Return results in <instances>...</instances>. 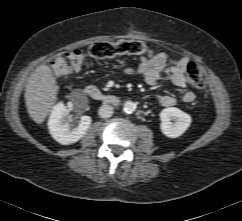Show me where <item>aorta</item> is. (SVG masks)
<instances>
[{"mask_svg":"<svg viewBox=\"0 0 242 221\" xmlns=\"http://www.w3.org/2000/svg\"><path fill=\"white\" fill-rule=\"evenodd\" d=\"M123 109L126 113H133L136 110V104L133 101H126Z\"/></svg>","mask_w":242,"mask_h":221,"instance_id":"aorta-1","label":"aorta"}]
</instances>
